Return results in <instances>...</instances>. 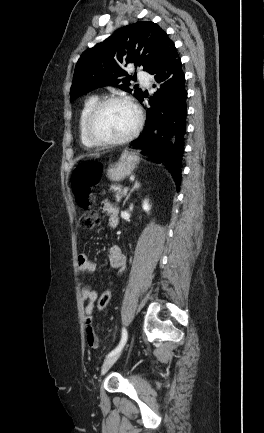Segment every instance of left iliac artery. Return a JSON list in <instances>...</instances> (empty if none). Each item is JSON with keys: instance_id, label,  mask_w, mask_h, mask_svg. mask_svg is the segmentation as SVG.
<instances>
[{"instance_id": "left-iliac-artery-1", "label": "left iliac artery", "mask_w": 264, "mask_h": 433, "mask_svg": "<svg viewBox=\"0 0 264 433\" xmlns=\"http://www.w3.org/2000/svg\"><path fill=\"white\" fill-rule=\"evenodd\" d=\"M126 340H127V331H126L125 328H123L122 329V337H121V341H120L119 345L112 352H110L107 355V357H109V356L117 353L118 351H120L123 348V346L125 345Z\"/></svg>"}]
</instances>
